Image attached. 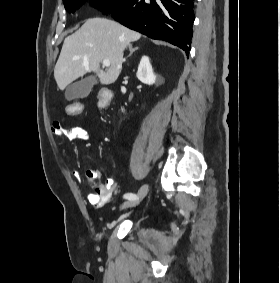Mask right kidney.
Returning <instances> with one entry per match:
<instances>
[{
    "mask_svg": "<svg viewBox=\"0 0 280 283\" xmlns=\"http://www.w3.org/2000/svg\"><path fill=\"white\" fill-rule=\"evenodd\" d=\"M136 76L142 83L147 85H153L154 83L159 84L162 81L160 77H157L154 74L150 60L147 56L141 58Z\"/></svg>",
    "mask_w": 280,
    "mask_h": 283,
    "instance_id": "right-kidney-1",
    "label": "right kidney"
}]
</instances>
